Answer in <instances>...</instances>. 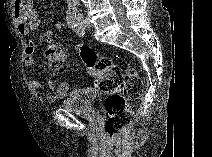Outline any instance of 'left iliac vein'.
Here are the masks:
<instances>
[{
	"instance_id": "left-iliac-vein-1",
	"label": "left iliac vein",
	"mask_w": 212,
	"mask_h": 157,
	"mask_svg": "<svg viewBox=\"0 0 212 157\" xmlns=\"http://www.w3.org/2000/svg\"><path fill=\"white\" fill-rule=\"evenodd\" d=\"M81 24H82V27L85 29H90L91 28V23L88 21V19H82L81 20Z\"/></svg>"
}]
</instances>
